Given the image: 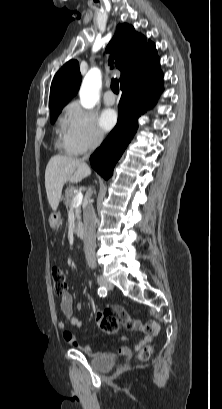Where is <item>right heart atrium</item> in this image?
<instances>
[{
	"mask_svg": "<svg viewBox=\"0 0 222 409\" xmlns=\"http://www.w3.org/2000/svg\"><path fill=\"white\" fill-rule=\"evenodd\" d=\"M62 134L64 147L74 154L96 149L104 140L94 113L78 103L67 106L62 119Z\"/></svg>",
	"mask_w": 222,
	"mask_h": 409,
	"instance_id": "1",
	"label": "right heart atrium"
}]
</instances>
